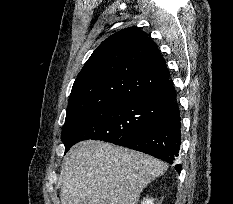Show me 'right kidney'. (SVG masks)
I'll return each instance as SVG.
<instances>
[{
	"mask_svg": "<svg viewBox=\"0 0 233 204\" xmlns=\"http://www.w3.org/2000/svg\"><path fill=\"white\" fill-rule=\"evenodd\" d=\"M141 204H154L152 198H146L144 199Z\"/></svg>",
	"mask_w": 233,
	"mask_h": 204,
	"instance_id": "1",
	"label": "right kidney"
}]
</instances>
